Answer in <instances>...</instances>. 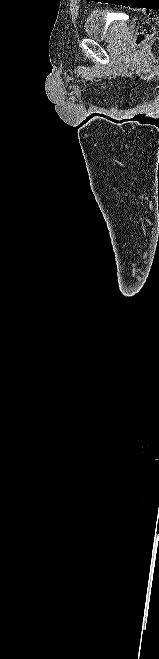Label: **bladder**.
I'll return each instance as SVG.
<instances>
[{
  "label": "bladder",
  "mask_w": 159,
  "mask_h": 659,
  "mask_svg": "<svg viewBox=\"0 0 159 659\" xmlns=\"http://www.w3.org/2000/svg\"><path fill=\"white\" fill-rule=\"evenodd\" d=\"M114 24L107 21L102 10H94L84 20V34L93 40L113 38L117 31Z\"/></svg>",
  "instance_id": "obj_1"
}]
</instances>
